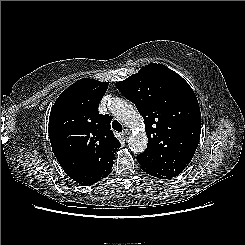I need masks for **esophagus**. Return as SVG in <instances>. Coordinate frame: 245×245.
<instances>
[{
    "mask_svg": "<svg viewBox=\"0 0 245 245\" xmlns=\"http://www.w3.org/2000/svg\"><path fill=\"white\" fill-rule=\"evenodd\" d=\"M129 134H130V131H129V129H127V128H125V129L123 130V132H122V135H123V137H124L125 139L128 138Z\"/></svg>",
    "mask_w": 245,
    "mask_h": 245,
    "instance_id": "1",
    "label": "esophagus"
}]
</instances>
